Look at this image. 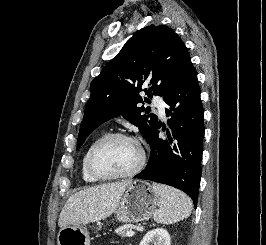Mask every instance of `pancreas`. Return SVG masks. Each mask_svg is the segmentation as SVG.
<instances>
[{"instance_id": "obj_1", "label": "pancreas", "mask_w": 266, "mask_h": 245, "mask_svg": "<svg viewBox=\"0 0 266 245\" xmlns=\"http://www.w3.org/2000/svg\"><path fill=\"white\" fill-rule=\"evenodd\" d=\"M117 235H120V237H122L123 231H119V233H117Z\"/></svg>"}]
</instances>
